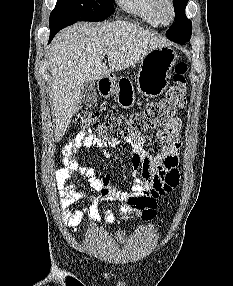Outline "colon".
Here are the masks:
<instances>
[{"mask_svg":"<svg viewBox=\"0 0 233 286\" xmlns=\"http://www.w3.org/2000/svg\"><path fill=\"white\" fill-rule=\"evenodd\" d=\"M187 71L185 63H177L174 68V85L165 97L149 104L141 111L127 116L104 118L99 112L81 108L75 117V125L96 131L100 139L108 142H120L141 135L147 129L163 124L178 110L184 108L187 102ZM151 204L152 198L148 192H142L128 201L131 215L136 216H141Z\"/></svg>","mask_w":233,"mask_h":286,"instance_id":"colon-1","label":"colon"}]
</instances>
